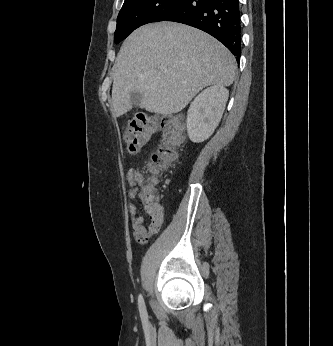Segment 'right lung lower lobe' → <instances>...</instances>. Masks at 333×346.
Returning <instances> with one entry per match:
<instances>
[{"label": "right lung lower lobe", "mask_w": 333, "mask_h": 346, "mask_svg": "<svg viewBox=\"0 0 333 346\" xmlns=\"http://www.w3.org/2000/svg\"><path fill=\"white\" fill-rule=\"evenodd\" d=\"M241 13L239 0H183L165 21L201 29L241 56Z\"/></svg>", "instance_id": "98d812e1"}]
</instances>
